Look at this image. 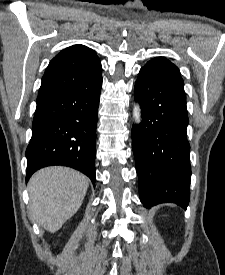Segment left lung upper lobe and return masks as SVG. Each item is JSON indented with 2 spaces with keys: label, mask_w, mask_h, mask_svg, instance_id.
I'll list each match as a JSON object with an SVG mask.
<instances>
[{
  "label": "left lung upper lobe",
  "mask_w": 225,
  "mask_h": 275,
  "mask_svg": "<svg viewBox=\"0 0 225 275\" xmlns=\"http://www.w3.org/2000/svg\"><path fill=\"white\" fill-rule=\"evenodd\" d=\"M142 69L184 91V83L178 67L165 57L153 58Z\"/></svg>",
  "instance_id": "left-lung-upper-lobe-1"
}]
</instances>
